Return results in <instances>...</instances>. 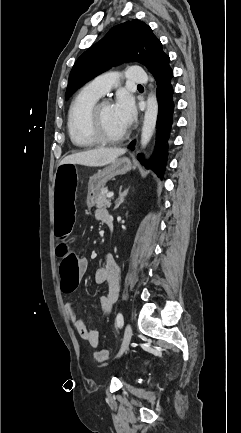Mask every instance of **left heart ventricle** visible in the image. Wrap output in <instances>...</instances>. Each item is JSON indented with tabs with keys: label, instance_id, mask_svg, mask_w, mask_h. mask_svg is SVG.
Wrapping results in <instances>:
<instances>
[{
	"label": "left heart ventricle",
	"instance_id": "obj_1",
	"mask_svg": "<svg viewBox=\"0 0 241 433\" xmlns=\"http://www.w3.org/2000/svg\"><path fill=\"white\" fill-rule=\"evenodd\" d=\"M101 124L105 134L111 137L119 136L126 130L117 117L112 105H106L102 108Z\"/></svg>",
	"mask_w": 241,
	"mask_h": 433
}]
</instances>
